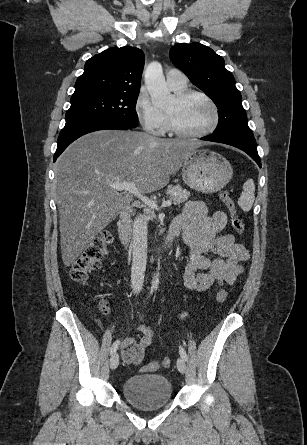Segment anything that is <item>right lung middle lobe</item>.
<instances>
[{
  "label": "right lung middle lobe",
  "mask_w": 307,
  "mask_h": 445,
  "mask_svg": "<svg viewBox=\"0 0 307 445\" xmlns=\"http://www.w3.org/2000/svg\"><path fill=\"white\" fill-rule=\"evenodd\" d=\"M138 94H90L71 97V106L66 113V122L105 118L117 120L133 127L138 125L135 110Z\"/></svg>",
  "instance_id": "obj_1"
}]
</instances>
